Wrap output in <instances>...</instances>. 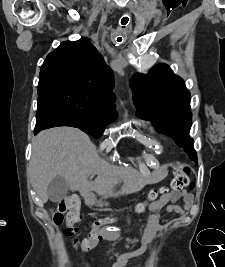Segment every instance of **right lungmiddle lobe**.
<instances>
[{"label": "right lung middle lobe", "mask_w": 225, "mask_h": 267, "mask_svg": "<svg viewBox=\"0 0 225 267\" xmlns=\"http://www.w3.org/2000/svg\"><path fill=\"white\" fill-rule=\"evenodd\" d=\"M38 101L47 100L69 117L76 127L100 137L117 113L111 101L98 96L89 87L60 78L40 80Z\"/></svg>", "instance_id": "right-lung-middle-lobe-1"}]
</instances>
